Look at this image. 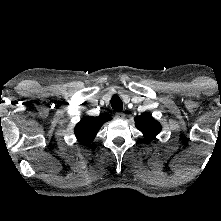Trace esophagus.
I'll return each instance as SVG.
<instances>
[{
	"label": "esophagus",
	"instance_id": "1",
	"mask_svg": "<svg viewBox=\"0 0 221 221\" xmlns=\"http://www.w3.org/2000/svg\"><path fill=\"white\" fill-rule=\"evenodd\" d=\"M115 117L117 118V119H125V114L123 113V112H117L116 114H115Z\"/></svg>",
	"mask_w": 221,
	"mask_h": 221
}]
</instances>
